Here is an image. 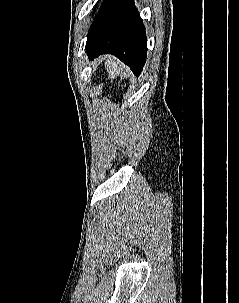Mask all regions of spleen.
<instances>
[{
    "label": "spleen",
    "instance_id": "3e777b00",
    "mask_svg": "<svg viewBox=\"0 0 239 303\" xmlns=\"http://www.w3.org/2000/svg\"><path fill=\"white\" fill-rule=\"evenodd\" d=\"M105 67L111 78L120 76L123 71V65L114 57L106 58Z\"/></svg>",
    "mask_w": 239,
    "mask_h": 303
}]
</instances>
